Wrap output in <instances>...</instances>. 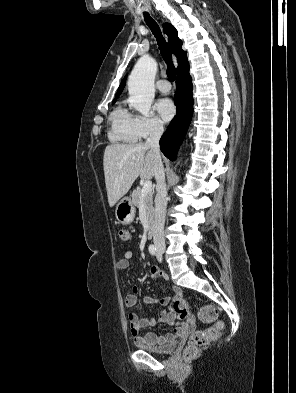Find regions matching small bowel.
I'll list each match as a JSON object with an SVG mask.
<instances>
[{
  "label": "small bowel",
  "mask_w": 296,
  "mask_h": 393,
  "mask_svg": "<svg viewBox=\"0 0 296 393\" xmlns=\"http://www.w3.org/2000/svg\"><path fill=\"white\" fill-rule=\"evenodd\" d=\"M133 259V253L131 251H127L124 256L119 259L116 263V267L118 270H127L130 268L131 261ZM151 275L161 281L168 282L169 278L167 274L158 267H154L151 270ZM173 296H166L162 298L160 301L152 298V297H144L143 303L148 305H156L160 304L164 307L161 311L159 319H155L154 317H139L136 312L128 313V320L130 322V332L134 343L137 346L140 345H162L166 342L173 341L176 337L186 335L192 332L195 329V319L193 316H189L186 322L176 324L173 332L167 333L165 335H157L155 333H148L146 335H142L140 330L145 327H154L159 322H166L170 324H174L175 317L170 308V304L172 301L176 299H183V294L180 288L176 286H171ZM138 303V288L137 286H132L131 291L127 294L125 298V304L128 308H134Z\"/></svg>",
  "instance_id": "c3829d8e"
}]
</instances>
